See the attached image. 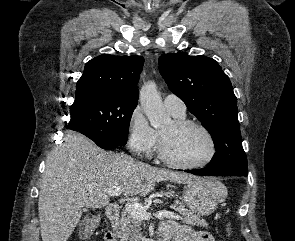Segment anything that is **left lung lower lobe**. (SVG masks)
<instances>
[{
  "instance_id": "1",
  "label": "left lung lower lobe",
  "mask_w": 295,
  "mask_h": 241,
  "mask_svg": "<svg viewBox=\"0 0 295 241\" xmlns=\"http://www.w3.org/2000/svg\"><path fill=\"white\" fill-rule=\"evenodd\" d=\"M185 172H189L195 175H215V176H240V173L229 172L222 169L210 168L205 167L202 169H195V170H185Z\"/></svg>"
}]
</instances>
